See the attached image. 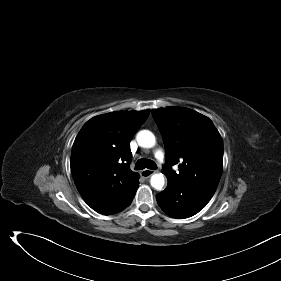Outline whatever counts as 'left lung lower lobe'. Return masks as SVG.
I'll use <instances>...</instances> for the list:
<instances>
[{"mask_svg":"<svg viewBox=\"0 0 281 281\" xmlns=\"http://www.w3.org/2000/svg\"><path fill=\"white\" fill-rule=\"evenodd\" d=\"M212 196V193L196 186L168 181L166 189L156 199L166 214L184 219L203 209Z\"/></svg>","mask_w":281,"mask_h":281,"instance_id":"0a47b994","label":"left lung lower lobe"}]
</instances>
